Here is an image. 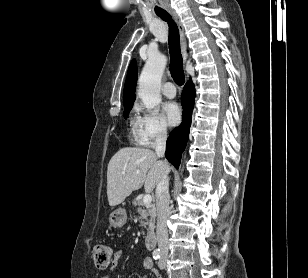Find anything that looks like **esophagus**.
Here are the masks:
<instances>
[{
	"mask_svg": "<svg viewBox=\"0 0 308 278\" xmlns=\"http://www.w3.org/2000/svg\"><path fill=\"white\" fill-rule=\"evenodd\" d=\"M170 13L173 16V18L175 19L176 24L178 26L179 35H180L181 53H182L183 61H184V63H186L187 60H188V53H187V41H186V37H185L184 27H183V24H182L179 16L176 14V12L171 10Z\"/></svg>",
	"mask_w": 308,
	"mask_h": 278,
	"instance_id": "1",
	"label": "esophagus"
}]
</instances>
